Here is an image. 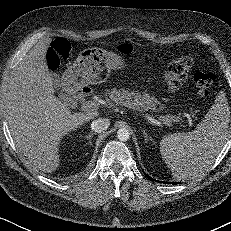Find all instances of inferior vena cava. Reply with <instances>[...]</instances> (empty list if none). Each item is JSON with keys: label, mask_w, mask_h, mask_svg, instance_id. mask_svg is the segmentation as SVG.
<instances>
[{"label": "inferior vena cava", "mask_w": 231, "mask_h": 231, "mask_svg": "<svg viewBox=\"0 0 231 231\" xmlns=\"http://www.w3.org/2000/svg\"><path fill=\"white\" fill-rule=\"evenodd\" d=\"M110 125V121L107 118H99L91 123V129L96 133L105 132Z\"/></svg>", "instance_id": "obj_1"}]
</instances>
